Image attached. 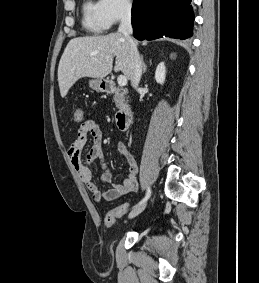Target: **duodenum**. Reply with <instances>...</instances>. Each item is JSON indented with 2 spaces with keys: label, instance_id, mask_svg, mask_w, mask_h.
I'll use <instances>...</instances> for the list:
<instances>
[{
  "label": "duodenum",
  "instance_id": "duodenum-1",
  "mask_svg": "<svg viewBox=\"0 0 259 283\" xmlns=\"http://www.w3.org/2000/svg\"><path fill=\"white\" fill-rule=\"evenodd\" d=\"M103 89L107 93H114L118 90L115 84L112 82H107L103 87ZM131 120H132V111L129 108L125 107L117 112L116 115L117 126L121 131L125 132L129 129Z\"/></svg>",
  "mask_w": 259,
  "mask_h": 283
}]
</instances>
